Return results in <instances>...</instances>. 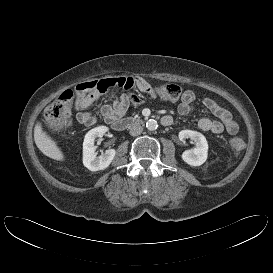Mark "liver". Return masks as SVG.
I'll list each match as a JSON object with an SVG mask.
<instances>
[{
	"label": "liver",
	"instance_id": "obj_1",
	"mask_svg": "<svg viewBox=\"0 0 273 273\" xmlns=\"http://www.w3.org/2000/svg\"><path fill=\"white\" fill-rule=\"evenodd\" d=\"M34 141L39 150L49 158L54 160L63 161L64 154L61 149L57 146V143L43 131L42 124L37 122L34 127Z\"/></svg>",
	"mask_w": 273,
	"mask_h": 273
}]
</instances>
